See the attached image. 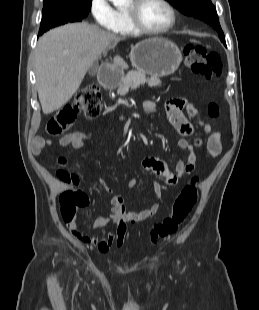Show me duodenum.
<instances>
[{"label": "duodenum", "mask_w": 259, "mask_h": 310, "mask_svg": "<svg viewBox=\"0 0 259 310\" xmlns=\"http://www.w3.org/2000/svg\"><path fill=\"white\" fill-rule=\"evenodd\" d=\"M99 80L104 88H114L121 81V74L111 71L110 69L102 68L99 71Z\"/></svg>", "instance_id": "duodenum-1"}]
</instances>
